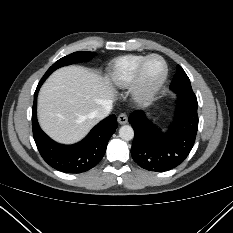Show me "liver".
<instances>
[{
	"instance_id": "liver-1",
	"label": "liver",
	"mask_w": 233,
	"mask_h": 233,
	"mask_svg": "<svg viewBox=\"0 0 233 233\" xmlns=\"http://www.w3.org/2000/svg\"><path fill=\"white\" fill-rule=\"evenodd\" d=\"M115 97L110 79L81 66L56 70L38 96V120L43 131L63 144L84 138L98 122L90 114Z\"/></svg>"
}]
</instances>
